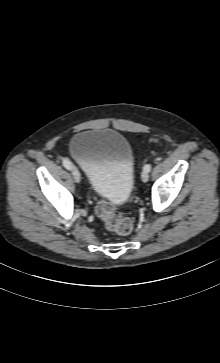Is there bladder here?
<instances>
[{
    "instance_id": "1",
    "label": "bladder",
    "mask_w": 220,
    "mask_h": 363,
    "mask_svg": "<svg viewBox=\"0 0 220 363\" xmlns=\"http://www.w3.org/2000/svg\"><path fill=\"white\" fill-rule=\"evenodd\" d=\"M69 151L100 198L112 205L127 201L133 188L135 162L124 135L106 129L83 130L72 137Z\"/></svg>"
}]
</instances>
